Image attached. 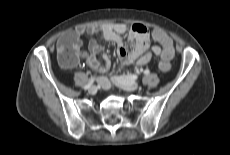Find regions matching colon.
I'll return each mask as SVG.
<instances>
[{"label":"colon","instance_id":"colon-1","mask_svg":"<svg viewBox=\"0 0 230 155\" xmlns=\"http://www.w3.org/2000/svg\"><path fill=\"white\" fill-rule=\"evenodd\" d=\"M164 34L160 31L155 32V36L162 37ZM76 40L74 38H70L68 41L59 44L57 50V58L61 64L66 67L73 66L78 58V54L75 50ZM174 55V50L172 48H167L163 51L161 56V61L159 63V68L162 71H168L170 69V62Z\"/></svg>","mask_w":230,"mask_h":155}]
</instances>
